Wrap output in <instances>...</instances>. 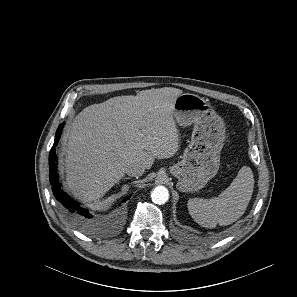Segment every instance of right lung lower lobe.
<instances>
[{
  "label": "right lung lower lobe",
  "instance_id": "right-lung-lower-lobe-1",
  "mask_svg": "<svg viewBox=\"0 0 297 297\" xmlns=\"http://www.w3.org/2000/svg\"><path fill=\"white\" fill-rule=\"evenodd\" d=\"M64 127V123L60 124L57 131L56 137L51 148L49 154V179L52 186V191L58 202L61 204L66 213L72 218L73 222L78 225L82 230L86 232H92L95 226V219L93 215L89 212V210L83 208L78 202L71 199L68 195H66L61 189L59 183V177L57 174V166H56V146L59 142L60 136L62 134V130ZM126 198L124 201L128 200Z\"/></svg>",
  "mask_w": 297,
  "mask_h": 297
}]
</instances>
